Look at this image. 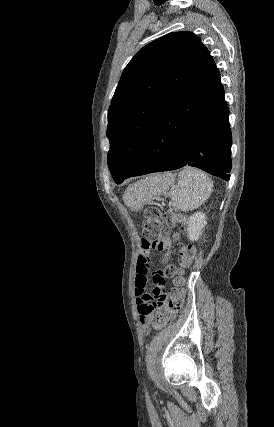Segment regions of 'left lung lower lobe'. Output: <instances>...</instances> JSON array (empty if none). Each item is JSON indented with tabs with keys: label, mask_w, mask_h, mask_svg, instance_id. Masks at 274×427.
I'll return each instance as SVG.
<instances>
[{
	"label": "left lung lower lobe",
	"mask_w": 274,
	"mask_h": 427,
	"mask_svg": "<svg viewBox=\"0 0 274 427\" xmlns=\"http://www.w3.org/2000/svg\"><path fill=\"white\" fill-rule=\"evenodd\" d=\"M229 110L219 71L211 56L161 114L135 162L119 184L132 176L186 165L224 180L231 170Z\"/></svg>",
	"instance_id": "0a47b994"
}]
</instances>
